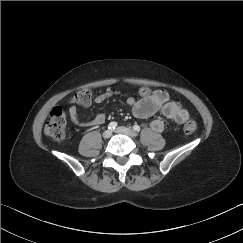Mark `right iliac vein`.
<instances>
[{"label": "right iliac vein", "mask_w": 243, "mask_h": 243, "mask_svg": "<svg viewBox=\"0 0 243 243\" xmlns=\"http://www.w3.org/2000/svg\"><path fill=\"white\" fill-rule=\"evenodd\" d=\"M111 135H112V131L111 130H106V131L103 132V137L106 138V139L110 138Z\"/></svg>", "instance_id": "right-iliac-vein-1"}]
</instances>
